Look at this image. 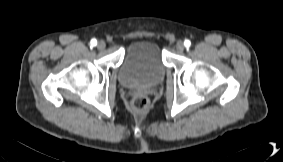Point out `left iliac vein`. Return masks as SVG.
I'll return each mask as SVG.
<instances>
[{
  "instance_id": "left-iliac-vein-1",
  "label": "left iliac vein",
  "mask_w": 283,
  "mask_h": 162,
  "mask_svg": "<svg viewBox=\"0 0 283 162\" xmlns=\"http://www.w3.org/2000/svg\"><path fill=\"white\" fill-rule=\"evenodd\" d=\"M185 46L184 43L182 41H178L176 43V49L178 52H182L184 50Z\"/></svg>"
}]
</instances>
